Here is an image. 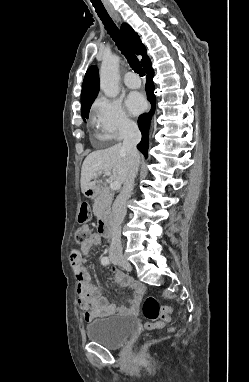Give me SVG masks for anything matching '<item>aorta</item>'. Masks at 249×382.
<instances>
[{
    "label": "aorta",
    "mask_w": 249,
    "mask_h": 382,
    "mask_svg": "<svg viewBox=\"0 0 249 382\" xmlns=\"http://www.w3.org/2000/svg\"><path fill=\"white\" fill-rule=\"evenodd\" d=\"M119 57L111 55L102 61L100 68V88L109 98L119 94Z\"/></svg>",
    "instance_id": "obj_1"
}]
</instances>
